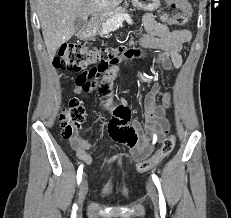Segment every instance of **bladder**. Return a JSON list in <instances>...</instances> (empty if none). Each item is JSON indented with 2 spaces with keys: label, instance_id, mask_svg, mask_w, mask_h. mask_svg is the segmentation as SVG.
I'll return each mask as SVG.
<instances>
[{
  "label": "bladder",
  "instance_id": "1",
  "mask_svg": "<svg viewBox=\"0 0 231 218\" xmlns=\"http://www.w3.org/2000/svg\"><path fill=\"white\" fill-rule=\"evenodd\" d=\"M100 194L104 197L128 199L130 191L125 177L105 178L100 185Z\"/></svg>",
  "mask_w": 231,
  "mask_h": 218
}]
</instances>
